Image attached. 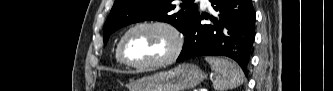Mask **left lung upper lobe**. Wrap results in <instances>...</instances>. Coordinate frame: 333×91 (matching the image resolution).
<instances>
[{
    "label": "left lung upper lobe",
    "instance_id": "5c2ea615",
    "mask_svg": "<svg viewBox=\"0 0 333 91\" xmlns=\"http://www.w3.org/2000/svg\"><path fill=\"white\" fill-rule=\"evenodd\" d=\"M181 10L172 0H116L103 28L104 44L117 29L144 20H159L176 27L183 34L197 13L194 0H182Z\"/></svg>",
    "mask_w": 333,
    "mask_h": 91
}]
</instances>
